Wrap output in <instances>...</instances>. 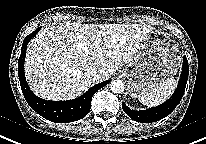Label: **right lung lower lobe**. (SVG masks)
Masks as SVG:
<instances>
[{"instance_id": "98d812e1", "label": "right lung lower lobe", "mask_w": 206, "mask_h": 144, "mask_svg": "<svg viewBox=\"0 0 206 144\" xmlns=\"http://www.w3.org/2000/svg\"><path fill=\"white\" fill-rule=\"evenodd\" d=\"M41 27H38L34 32L26 36L21 48V55L18 60V75L21 90L30 107L45 119L56 122H74L84 118L90 111L92 96L100 88L107 85L110 80H106L90 88L79 98L68 101H47L37 97L29 88L24 74V60L26 48L29 41L34 37Z\"/></svg>"}]
</instances>
